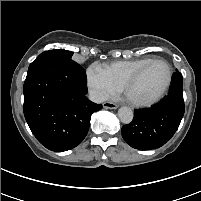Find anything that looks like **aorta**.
<instances>
[{
    "label": "aorta",
    "instance_id": "1",
    "mask_svg": "<svg viewBox=\"0 0 201 201\" xmlns=\"http://www.w3.org/2000/svg\"><path fill=\"white\" fill-rule=\"evenodd\" d=\"M118 117L124 124H129L133 120V111L128 107H121L118 110Z\"/></svg>",
    "mask_w": 201,
    "mask_h": 201
}]
</instances>
